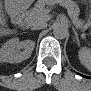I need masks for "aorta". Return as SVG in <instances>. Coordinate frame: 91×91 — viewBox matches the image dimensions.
<instances>
[{"mask_svg":"<svg viewBox=\"0 0 91 91\" xmlns=\"http://www.w3.org/2000/svg\"><path fill=\"white\" fill-rule=\"evenodd\" d=\"M53 35L57 38V39H64L67 37L68 35V29L66 26H64L61 23H56L53 26Z\"/></svg>","mask_w":91,"mask_h":91,"instance_id":"1","label":"aorta"}]
</instances>
